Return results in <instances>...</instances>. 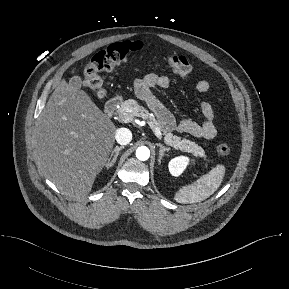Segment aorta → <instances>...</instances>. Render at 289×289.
Listing matches in <instances>:
<instances>
[{
  "label": "aorta",
  "mask_w": 289,
  "mask_h": 289,
  "mask_svg": "<svg viewBox=\"0 0 289 289\" xmlns=\"http://www.w3.org/2000/svg\"><path fill=\"white\" fill-rule=\"evenodd\" d=\"M136 157L141 161H146L150 157V150L146 146H140L136 150Z\"/></svg>",
  "instance_id": "762f6f07"
}]
</instances>
